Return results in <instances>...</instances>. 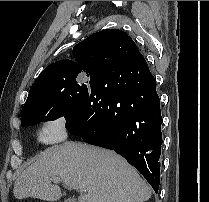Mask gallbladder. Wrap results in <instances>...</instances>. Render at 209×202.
<instances>
[{
	"label": "gallbladder",
	"instance_id": "1",
	"mask_svg": "<svg viewBox=\"0 0 209 202\" xmlns=\"http://www.w3.org/2000/svg\"><path fill=\"white\" fill-rule=\"evenodd\" d=\"M65 202H76L73 198H68Z\"/></svg>",
	"mask_w": 209,
	"mask_h": 202
}]
</instances>
